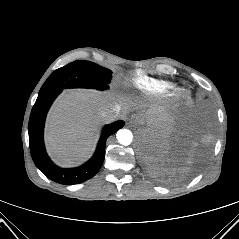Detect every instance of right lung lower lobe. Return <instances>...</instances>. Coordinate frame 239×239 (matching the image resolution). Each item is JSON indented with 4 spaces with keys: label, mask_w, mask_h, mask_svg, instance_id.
I'll use <instances>...</instances> for the list:
<instances>
[{
    "label": "right lung lower lobe",
    "mask_w": 239,
    "mask_h": 239,
    "mask_svg": "<svg viewBox=\"0 0 239 239\" xmlns=\"http://www.w3.org/2000/svg\"><path fill=\"white\" fill-rule=\"evenodd\" d=\"M60 90L51 91L38 98L32 108L28 131L32 159L39 170L49 179L64 185L82 183L97 174L105 157L107 138L123 127V121H117L103 128L93 157L82 166L64 169L54 165L49 159L43 143V128L47 111Z\"/></svg>",
    "instance_id": "right-lung-lower-lobe-1"
}]
</instances>
